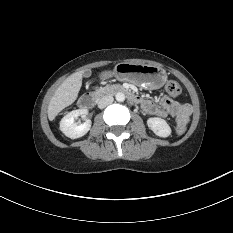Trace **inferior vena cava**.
Segmentation results:
<instances>
[{
	"instance_id": "1",
	"label": "inferior vena cava",
	"mask_w": 233,
	"mask_h": 233,
	"mask_svg": "<svg viewBox=\"0 0 233 233\" xmlns=\"http://www.w3.org/2000/svg\"><path fill=\"white\" fill-rule=\"evenodd\" d=\"M113 97L112 96H104L99 99L98 101V107L100 109L105 108L106 106L110 105L113 102Z\"/></svg>"
}]
</instances>
